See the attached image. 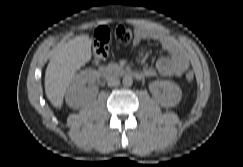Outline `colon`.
I'll return each mask as SVG.
<instances>
[{
    "instance_id": "colon-1",
    "label": "colon",
    "mask_w": 243,
    "mask_h": 167,
    "mask_svg": "<svg viewBox=\"0 0 243 167\" xmlns=\"http://www.w3.org/2000/svg\"><path fill=\"white\" fill-rule=\"evenodd\" d=\"M133 32L131 27L120 25L114 29V36L120 44L128 45L133 37ZM111 33V29L105 25H101L96 29L93 48L95 63L101 62L108 56ZM185 78L188 82H191L194 79V73L190 70L187 71Z\"/></svg>"
}]
</instances>
